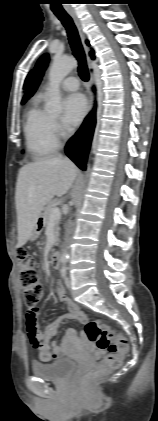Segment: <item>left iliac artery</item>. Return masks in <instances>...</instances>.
Here are the masks:
<instances>
[{
	"instance_id": "obj_1",
	"label": "left iliac artery",
	"mask_w": 158,
	"mask_h": 421,
	"mask_svg": "<svg viewBox=\"0 0 158 421\" xmlns=\"http://www.w3.org/2000/svg\"><path fill=\"white\" fill-rule=\"evenodd\" d=\"M66 270H67V266H66V265H64V266L62 267V269H61V275H62V277H65V276H66Z\"/></svg>"
}]
</instances>
